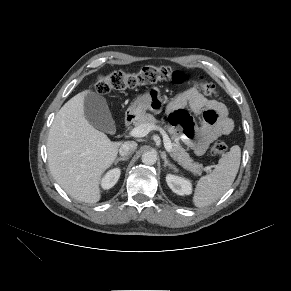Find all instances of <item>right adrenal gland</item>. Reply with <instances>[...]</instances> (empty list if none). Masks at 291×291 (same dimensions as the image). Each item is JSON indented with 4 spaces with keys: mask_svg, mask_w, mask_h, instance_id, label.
Returning <instances> with one entry per match:
<instances>
[{
    "mask_svg": "<svg viewBox=\"0 0 291 291\" xmlns=\"http://www.w3.org/2000/svg\"><path fill=\"white\" fill-rule=\"evenodd\" d=\"M129 157H119L115 160V163L117 164L119 161H127Z\"/></svg>",
    "mask_w": 291,
    "mask_h": 291,
    "instance_id": "2a0ac1e0",
    "label": "right adrenal gland"
}]
</instances>
